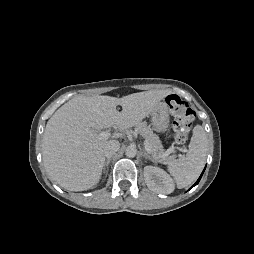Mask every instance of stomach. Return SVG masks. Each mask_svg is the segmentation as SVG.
<instances>
[{"label":"stomach","instance_id":"1","mask_svg":"<svg viewBox=\"0 0 254 254\" xmlns=\"http://www.w3.org/2000/svg\"><path fill=\"white\" fill-rule=\"evenodd\" d=\"M151 119L156 131L165 132L169 126L168 105L165 102H160L151 112Z\"/></svg>","mask_w":254,"mask_h":254}]
</instances>
